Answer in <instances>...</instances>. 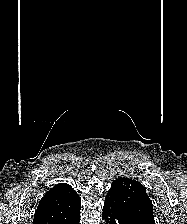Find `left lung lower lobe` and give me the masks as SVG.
<instances>
[{"instance_id":"0a47b994","label":"left lung lower lobe","mask_w":187,"mask_h":224,"mask_svg":"<svg viewBox=\"0 0 187 224\" xmlns=\"http://www.w3.org/2000/svg\"><path fill=\"white\" fill-rule=\"evenodd\" d=\"M102 219L107 220V224H147L128 216L116 199L110 194H107L104 202Z\"/></svg>"}]
</instances>
